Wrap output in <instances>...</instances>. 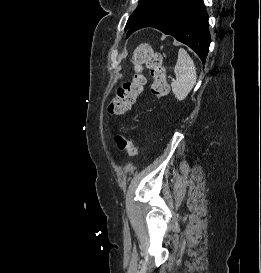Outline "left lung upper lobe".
Returning a JSON list of instances; mask_svg holds the SVG:
<instances>
[{"label": "left lung upper lobe", "mask_w": 261, "mask_h": 273, "mask_svg": "<svg viewBox=\"0 0 261 273\" xmlns=\"http://www.w3.org/2000/svg\"><path fill=\"white\" fill-rule=\"evenodd\" d=\"M168 0H140L137 9L129 17L125 30L129 29L135 22L146 15L155 7L165 3Z\"/></svg>", "instance_id": "obj_1"}]
</instances>
